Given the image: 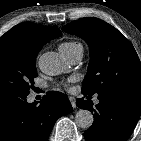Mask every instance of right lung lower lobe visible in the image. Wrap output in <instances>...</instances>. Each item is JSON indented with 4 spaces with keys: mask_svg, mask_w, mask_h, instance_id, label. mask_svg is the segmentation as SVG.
I'll return each instance as SVG.
<instances>
[{
    "mask_svg": "<svg viewBox=\"0 0 141 141\" xmlns=\"http://www.w3.org/2000/svg\"><path fill=\"white\" fill-rule=\"evenodd\" d=\"M26 97L0 94V141H47L56 120L72 110L60 92H49L39 105Z\"/></svg>",
    "mask_w": 141,
    "mask_h": 141,
    "instance_id": "right-lung-lower-lobe-1",
    "label": "right lung lower lobe"
}]
</instances>
